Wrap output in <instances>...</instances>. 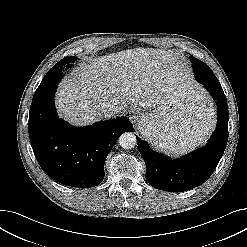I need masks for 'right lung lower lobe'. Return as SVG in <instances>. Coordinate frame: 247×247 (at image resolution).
<instances>
[{"mask_svg": "<svg viewBox=\"0 0 247 247\" xmlns=\"http://www.w3.org/2000/svg\"><path fill=\"white\" fill-rule=\"evenodd\" d=\"M66 66L51 69L34 93L28 131L42 170L72 187H94L104 179V163L118 137L133 131L126 117L78 128L58 118L53 98Z\"/></svg>", "mask_w": 247, "mask_h": 247, "instance_id": "98d812e1", "label": "right lung lower lobe"}]
</instances>
